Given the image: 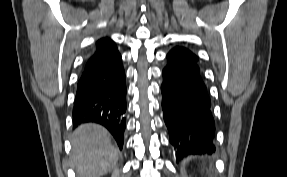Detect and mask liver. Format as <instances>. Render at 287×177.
<instances>
[{"label": "liver", "mask_w": 287, "mask_h": 177, "mask_svg": "<svg viewBox=\"0 0 287 177\" xmlns=\"http://www.w3.org/2000/svg\"><path fill=\"white\" fill-rule=\"evenodd\" d=\"M71 142V160L78 177H100L115 168L119 150L102 126L92 123L79 126Z\"/></svg>", "instance_id": "obj_1"}]
</instances>
